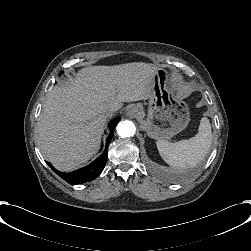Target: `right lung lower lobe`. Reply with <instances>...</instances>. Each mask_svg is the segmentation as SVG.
<instances>
[{
  "label": "right lung lower lobe",
  "mask_w": 251,
  "mask_h": 251,
  "mask_svg": "<svg viewBox=\"0 0 251 251\" xmlns=\"http://www.w3.org/2000/svg\"><path fill=\"white\" fill-rule=\"evenodd\" d=\"M120 121V117L115 118L114 120H112L109 123V128H110V134L106 139V147L105 150L103 152V154L98 157L96 160H94L91 164H89L86 167H83L81 169L75 170L73 172L70 173H64V172H60L56 169H54L52 167V165L47 162V164L51 167V169H53L60 177H62L66 182H68L69 184L72 185H76V184H81V183H85V182H89L93 179H95L96 177L99 176V174L102 172V170L105 167L106 161H107V150H108V146L109 143L112 139L115 127L117 125V123Z\"/></svg>",
  "instance_id": "right-lung-lower-lobe-1"
}]
</instances>
